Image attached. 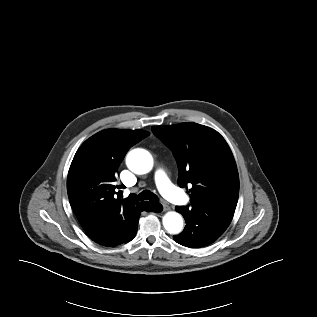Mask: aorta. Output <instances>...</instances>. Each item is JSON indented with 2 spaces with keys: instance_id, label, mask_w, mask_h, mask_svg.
<instances>
[{
  "instance_id": "1",
  "label": "aorta",
  "mask_w": 317,
  "mask_h": 317,
  "mask_svg": "<svg viewBox=\"0 0 317 317\" xmlns=\"http://www.w3.org/2000/svg\"><path fill=\"white\" fill-rule=\"evenodd\" d=\"M127 167L136 174L149 173L154 164L151 153L142 148L131 150L126 156ZM165 230L170 234H178L183 229V218L175 211L167 212L162 219Z\"/></svg>"
}]
</instances>
